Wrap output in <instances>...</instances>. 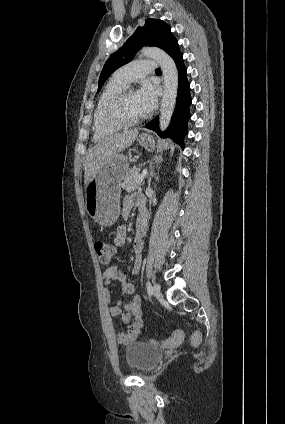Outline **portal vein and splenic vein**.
Returning <instances> with one entry per match:
<instances>
[{
	"label": "portal vein and splenic vein",
	"mask_w": 285,
	"mask_h": 424,
	"mask_svg": "<svg viewBox=\"0 0 285 424\" xmlns=\"http://www.w3.org/2000/svg\"><path fill=\"white\" fill-rule=\"evenodd\" d=\"M146 174H147V171H146V169H144L142 171L141 175L139 176L138 183H140V182L143 181V179L145 178Z\"/></svg>",
	"instance_id": "obj_1"
}]
</instances>
